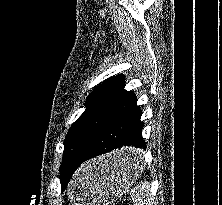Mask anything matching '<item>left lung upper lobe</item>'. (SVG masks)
I'll use <instances>...</instances> for the list:
<instances>
[{
	"label": "left lung upper lobe",
	"mask_w": 222,
	"mask_h": 205,
	"mask_svg": "<svg viewBox=\"0 0 222 205\" xmlns=\"http://www.w3.org/2000/svg\"><path fill=\"white\" fill-rule=\"evenodd\" d=\"M125 78L111 77L95 88L86 100V110L72 124L64 141V153L60 168L61 186L70 180V160L82 158L89 151L107 116L125 94Z\"/></svg>",
	"instance_id": "1"
}]
</instances>
